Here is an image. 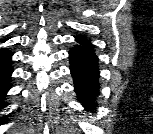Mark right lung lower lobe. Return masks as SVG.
I'll return each mask as SVG.
<instances>
[{
    "label": "right lung lower lobe",
    "instance_id": "98d812e1",
    "mask_svg": "<svg viewBox=\"0 0 153 134\" xmlns=\"http://www.w3.org/2000/svg\"><path fill=\"white\" fill-rule=\"evenodd\" d=\"M11 55L12 53L6 49L0 52V109L6 107L3 100L10 88L11 74L13 72L11 68Z\"/></svg>",
    "mask_w": 153,
    "mask_h": 134
}]
</instances>
